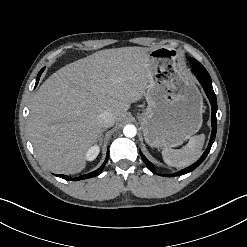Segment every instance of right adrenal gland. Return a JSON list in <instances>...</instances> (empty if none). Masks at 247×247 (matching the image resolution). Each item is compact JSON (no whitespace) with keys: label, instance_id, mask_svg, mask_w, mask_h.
Masks as SVG:
<instances>
[{"label":"right adrenal gland","instance_id":"right-adrenal-gland-1","mask_svg":"<svg viewBox=\"0 0 247 247\" xmlns=\"http://www.w3.org/2000/svg\"><path fill=\"white\" fill-rule=\"evenodd\" d=\"M105 131V129H102L100 135H99V139L102 140V137H103V132Z\"/></svg>","mask_w":247,"mask_h":247}]
</instances>
